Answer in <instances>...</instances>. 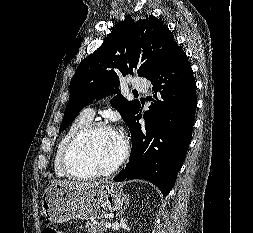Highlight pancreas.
Wrapping results in <instances>:
<instances>
[{"label":"pancreas","mask_w":253,"mask_h":233,"mask_svg":"<svg viewBox=\"0 0 253 233\" xmlns=\"http://www.w3.org/2000/svg\"><path fill=\"white\" fill-rule=\"evenodd\" d=\"M107 223V221H102L100 224L99 223H95V222H86L85 225V231L87 233H105L106 232V227L105 224Z\"/></svg>","instance_id":"cf45deb5"}]
</instances>
